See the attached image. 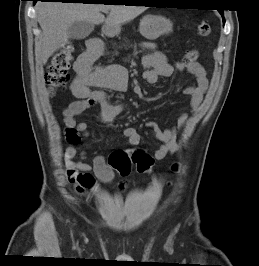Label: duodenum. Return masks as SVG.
<instances>
[{
  "mask_svg": "<svg viewBox=\"0 0 259 266\" xmlns=\"http://www.w3.org/2000/svg\"><path fill=\"white\" fill-rule=\"evenodd\" d=\"M94 49H95V50H98V47L96 46Z\"/></svg>",
  "mask_w": 259,
  "mask_h": 266,
  "instance_id": "410a0bca",
  "label": "duodenum"
}]
</instances>
